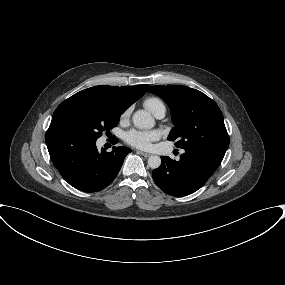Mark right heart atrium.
Masks as SVG:
<instances>
[{"label": "right heart atrium", "instance_id": "right-heart-atrium-1", "mask_svg": "<svg viewBox=\"0 0 285 285\" xmlns=\"http://www.w3.org/2000/svg\"><path fill=\"white\" fill-rule=\"evenodd\" d=\"M128 115H129V110H126V111L122 114V119H125Z\"/></svg>", "mask_w": 285, "mask_h": 285}]
</instances>
